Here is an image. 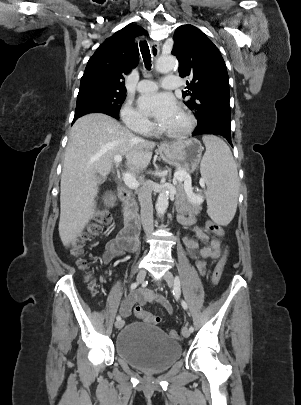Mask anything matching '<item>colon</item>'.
<instances>
[{
  "label": "colon",
  "instance_id": "colon-1",
  "mask_svg": "<svg viewBox=\"0 0 301 405\" xmlns=\"http://www.w3.org/2000/svg\"><path fill=\"white\" fill-rule=\"evenodd\" d=\"M110 221L111 216L107 211L100 210L95 212L91 218V221L87 225L83 235L77 241L72 243L70 247V253L71 255L77 258L78 266L81 269L86 268V261L82 258L83 246L85 241L91 237L99 236L103 232L104 227L107 226L110 223ZM206 229L215 235L218 236L224 235L223 228L217 223L208 221L206 223ZM226 260H227V250H225L224 254L217 261L214 267L212 273V282L214 285H217L220 282L226 264ZM134 312L138 318L147 323L158 324L160 322V317L158 315L148 312L140 306L135 307ZM169 335L173 339L176 340L180 339V333L175 329L170 330Z\"/></svg>",
  "mask_w": 301,
  "mask_h": 405
}]
</instances>
